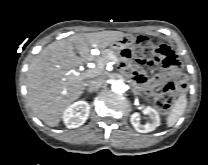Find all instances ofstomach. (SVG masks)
I'll list each match as a JSON object with an SVG mask.
<instances>
[{"label": "stomach", "instance_id": "stomach-1", "mask_svg": "<svg viewBox=\"0 0 208 165\" xmlns=\"http://www.w3.org/2000/svg\"><path fill=\"white\" fill-rule=\"evenodd\" d=\"M136 39L132 36L125 35L121 39L110 44V48L116 52H121L123 49H130L134 46Z\"/></svg>", "mask_w": 208, "mask_h": 165}]
</instances>
